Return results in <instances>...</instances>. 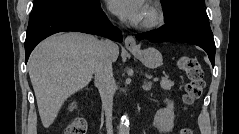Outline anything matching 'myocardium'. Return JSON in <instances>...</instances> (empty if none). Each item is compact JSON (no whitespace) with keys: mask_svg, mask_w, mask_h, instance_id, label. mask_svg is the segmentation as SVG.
I'll list each match as a JSON object with an SVG mask.
<instances>
[{"mask_svg":"<svg viewBox=\"0 0 239 134\" xmlns=\"http://www.w3.org/2000/svg\"><path fill=\"white\" fill-rule=\"evenodd\" d=\"M148 17L141 23V27L151 29L160 26L164 21L163 12L154 5H148Z\"/></svg>","mask_w":239,"mask_h":134,"instance_id":"myocardium-1","label":"myocardium"}]
</instances>
